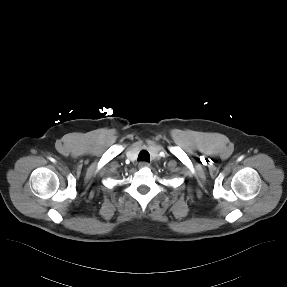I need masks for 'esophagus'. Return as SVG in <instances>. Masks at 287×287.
<instances>
[{
    "mask_svg": "<svg viewBox=\"0 0 287 287\" xmlns=\"http://www.w3.org/2000/svg\"><path fill=\"white\" fill-rule=\"evenodd\" d=\"M138 166H139V168L149 167L150 163L147 161H141V162H139Z\"/></svg>",
    "mask_w": 287,
    "mask_h": 287,
    "instance_id": "34e87169",
    "label": "esophagus"
}]
</instances>
